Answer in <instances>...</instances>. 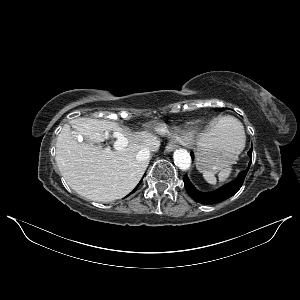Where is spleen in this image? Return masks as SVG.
<instances>
[{
    "label": "spleen",
    "instance_id": "3e777b00",
    "mask_svg": "<svg viewBox=\"0 0 300 300\" xmlns=\"http://www.w3.org/2000/svg\"><path fill=\"white\" fill-rule=\"evenodd\" d=\"M219 124L222 127H225L226 129H228L232 134L237 136L239 138L240 142L243 143V146H245V133H244V129H243L241 122H239L234 117L225 116L219 121ZM231 172H232L231 167L222 169L218 173L219 182H223V181L227 180V178L230 176ZM203 177L209 184L215 185L217 182V179H216L214 173H212L210 171H204Z\"/></svg>",
    "mask_w": 300,
    "mask_h": 300
}]
</instances>
